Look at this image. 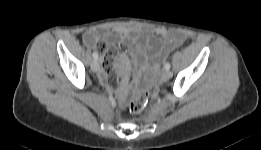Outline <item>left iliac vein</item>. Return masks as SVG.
Segmentation results:
<instances>
[{
	"label": "left iliac vein",
	"instance_id": "left-iliac-vein-1",
	"mask_svg": "<svg viewBox=\"0 0 261 150\" xmlns=\"http://www.w3.org/2000/svg\"><path fill=\"white\" fill-rule=\"evenodd\" d=\"M172 76H173L172 71H170V70H166L165 71V73H164V78L165 79H170Z\"/></svg>",
	"mask_w": 261,
	"mask_h": 150
}]
</instances>
